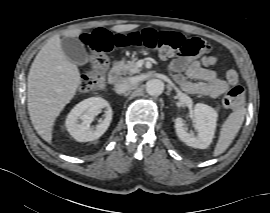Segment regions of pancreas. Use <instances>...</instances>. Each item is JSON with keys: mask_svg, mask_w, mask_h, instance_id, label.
<instances>
[{"mask_svg": "<svg viewBox=\"0 0 270 213\" xmlns=\"http://www.w3.org/2000/svg\"><path fill=\"white\" fill-rule=\"evenodd\" d=\"M137 58H133L131 61H126L117 66V68L122 71L124 75H134L141 71L140 68L137 67L136 61Z\"/></svg>", "mask_w": 270, "mask_h": 213, "instance_id": "cf45deb5", "label": "pancreas"}]
</instances>
